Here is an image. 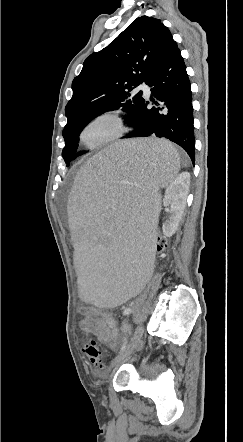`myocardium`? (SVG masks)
<instances>
[{
    "mask_svg": "<svg viewBox=\"0 0 243 442\" xmlns=\"http://www.w3.org/2000/svg\"><path fill=\"white\" fill-rule=\"evenodd\" d=\"M100 120L113 121L115 124V127H116L115 131L111 135H109L108 137H106L105 139H103L101 141H98L93 144L86 143L84 140V137H83L84 132L86 131V129L90 125H92L93 123L100 121ZM127 130H128V125H127V121H126V118L123 115V113L119 110H107V111H103L101 113L94 115L93 117L88 119L82 125V127L80 128L79 133H78V140L86 148L97 149V148L107 145L113 141L120 139L127 132Z\"/></svg>",
    "mask_w": 243,
    "mask_h": 442,
    "instance_id": "1",
    "label": "myocardium"
}]
</instances>
